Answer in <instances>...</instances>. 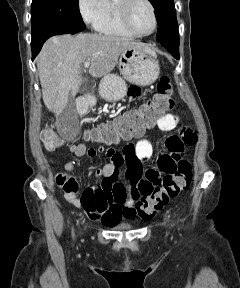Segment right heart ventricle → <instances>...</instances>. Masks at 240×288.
I'll list each match as a JSON object with an SVG mask.
<instances>
[{"instance_id": "1", "label": "right heart ventricle", "mask_w": 240, "mask_h": 288, "mask_svg": "<svg viewBox=\"0 0 240 288\" xmlns=\"http://www.w3.org/2000/svg\"><path fill=\"white\" fill-rule=\"evenodd\" d=\"M117 1L118 0L108 1L107 14L97 29L100 32L108 35L133 37V35L129 33L122 25Z\"/></svg>"}]
</instances>
